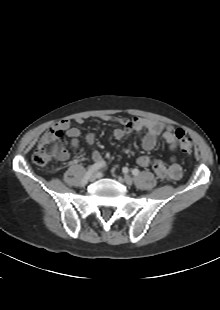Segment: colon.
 Wrapping results in <instances>:
<instances>
[{
  "instance_id": "1",
  "label": "colon",
  "mask_w": 220,
  "mask_h": 310,
  "mask_svg": "<svg viewBox=\"0 0 220 310\" xmlns=\"http://www.w3.org/2000/svg\"><path fill=\"white\" fill-rule=\"evenodd\" d=\"M174 134L180 150L186 154L191 153L192 140L185 132L182 129H176ZM65 154L64 132L52 129L41 137L33 153V161L38 165H46Z\"/></svg>"
}]
</instances>
